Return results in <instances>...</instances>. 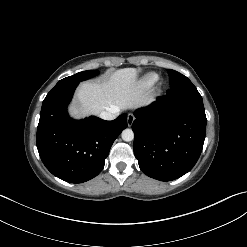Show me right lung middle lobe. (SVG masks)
I'll use <instances>...</instances> for the list:
<instances>
[{
  "label": "right lung middle lobe",
  "instance_id": "dd1d6c3e",
  "mask_svg": "<svg viewBox=\"0 0 247 247\" xmlns=\"http://www.w3.org/2000/svg\"><path fill=\"white\" fill-rule=\"evenodd\" d=\"M97 74H98V71H96V70L83 71V72H79L75 75L66 77V78L60 80L57 84H59V83H62V84L74 83V82L79 83V82L84 81L90 77L97 75Z\"/></svg>",
  "mask_w": 247,
  "mask_h": 247
}]
</instances>
